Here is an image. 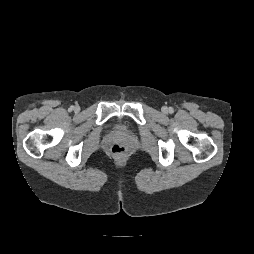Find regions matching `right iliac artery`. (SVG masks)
I'll return each mask as SVG.
<instances>
[{
	"mask_svg": "<svg viewBox=\"0 0 254 254\" xmlns=\"http://www.w3.org/2000/svg\"><path fill=\"white\" fill-rule=\"evenodd\" d=\"M72 110H74V107H73V106H71V107L69 108V111H72Z\"/></svg>",
	"mask_w": 254,
	"mask_h": 254,
	"instance_id": "right-iliac-artery-1",
	"label": "right iliac artery"
}]
</instances>
